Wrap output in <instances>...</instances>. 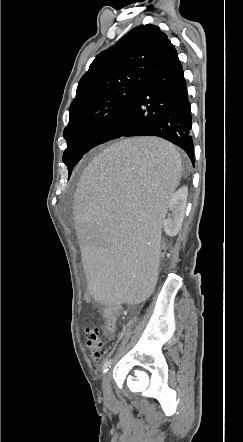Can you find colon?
Instances as JSON below:
<instances>
[{
    "label": "colon",
    "instance_id": "obj_1",
    "mask_svg": "<svg viewBox=\"0 0 243 442\" xmlns=\"http://www.w3.org/2000/svg\"><path fill=\"white\" fill-rule=\"evenodd\" d=\"M169 238L168 233L163 232L160 235V242L166 243ZM170 248L167 245H163L161 251L158 252V257L161 259L166 258ZM85 346L90 353V356L94 360L102 359L108 352V347L103 342L99 328L97 326H89L85 330Z\"/></svg>",
    "mask_w": 243,
    "mask_h": 442
}]
</instances>
